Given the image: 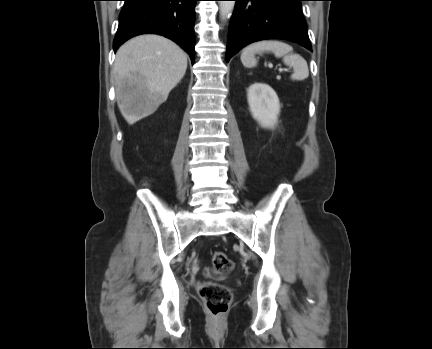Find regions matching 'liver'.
Instances as JSON below:
<instances>
[{"instance_id":"1","label":"liver","mask_w":432,"mask_h":349,"mask_svg":"<svg viewBox=\"0 0 432 349\" xmlns=\"http://www.w3.org/2000/svg\"><path fill=\"white\" fill-rule=\"evenodd\" d=\"M187 69V56L159 35H140L117 51L113 66L118 107L133 124L153 114L167 100Z\"/></svg>"}]
</instances>
